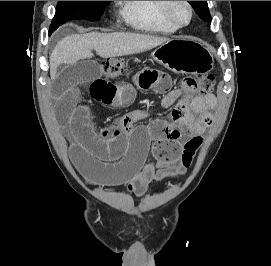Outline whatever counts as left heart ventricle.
<instances>
[{"label": "left heart ventricle", "instance_id": "obj_1", "mask_svg": "<svg viewBox=\"0 0 271 266\" xmlns=\"http://www.w3.org/2000/svg\"><path fill=\"white\" fill-rule=\"evenodd\" d=\"M173 14L182 23L187 22L189 19V10L182 2H178L173 6Z\"/></svg>", "mask_w": 271, "mask_h": 266}]
</instances>
